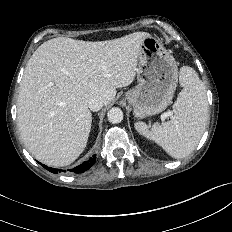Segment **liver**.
Instances as JSON below:
<instances>
[{"label": "liver", "instance_id": "obj_1", "mask_svg": "<svg viewBox=\"0 0 232 232\" xmlns=\"http://www.w3.org/2000/svg\"><path fill=\"white\" fill-rule=\"evenodd\" d=\"M150 34L88 42L57 37L27 63L18 96V127L29 152L49 166H67L84 151L92 123L88 100L107 106L130 85L141 44Z\"/></svg>", "mask_w": 232, "mask_h": 232}]
</instances>
